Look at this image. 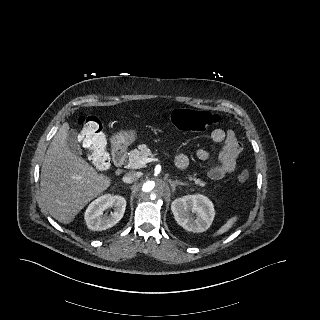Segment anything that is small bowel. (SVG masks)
Here are the masks:
<instances>
[{
	"instance_id": "obj_1",
	"label": "small bowel",
	"mask_w": 320,
	"mask_h": 320,
	"mask_svg": "<svg viewBox=\"0 0 320 320\" xmlns=\"http://www.w3.org/2000/svg\"><path fill=\"white\" fill-rule=\"evenodd\" d=\"M211 139L215 143H223L217 156V163L208 173L211 179L219 180L235 171L237 159L243 148L232 130L214 129L211 132ZM196 156L202 161H207L210 153L205 149H199ZM175 163L178 168L185 169L189 165V158L185 154H179L176 156Z\"/></svg>"
}]
</instances>
